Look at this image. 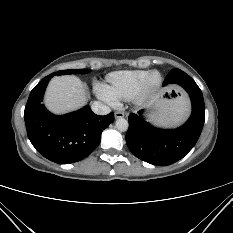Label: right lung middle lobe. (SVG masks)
Wrapping results in <instances>:
<instances>
[{
  "label": "right lung middle lobe",
  "instance_id": "obj_1",
  "mask_svg": "<svg viewBox=\"0 0 233 233\" xmlns=\"http://www.w3.org/2000/svg\"><path fill=\"white\" fill-rule=\"evenodd\" d=\"M90 72L89 69H70V70H61L53 73L54 75H64V74H84Z\"/></svg>",
  "mask_w": 233,
  "mask_h": 233
}]
</instances>
